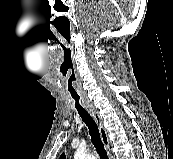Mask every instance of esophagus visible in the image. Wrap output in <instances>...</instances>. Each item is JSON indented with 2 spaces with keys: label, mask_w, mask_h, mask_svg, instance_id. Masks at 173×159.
<instances>
[{
  "label": "esophagus",
  "mask_w": 173,
  "mask_h": 159,
  "mask_svg": "<svg viewBox=\"0 0 173 159\" xmlns=\"http://www.w3.org/2000/svg\"><path fill=\"white\" fill-rule=\"evenodd\" d=\"M87 110L90 113V115L93 117L94 121L96 122V124L98 126L101 141L105 147L107 154L109 155V159H112L108 133L103 126V121L99 115V112L94 107H87Z\"/></svg>",
  "instance_id": "esophagus-1"
}]
</instances>
